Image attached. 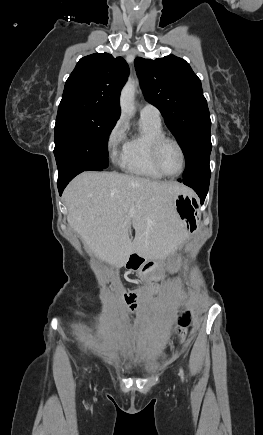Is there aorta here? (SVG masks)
Segmentation results:
<instances>
[{
	"label": "aorta",
	"instance_id": "1",
	"mask_svg": "<svg viewBox=\"0 0 263 435\" xmlns=\"http://www.w3.org/2000/svg\"><path fill=\"white\" fill-rule=\"evenodd\" d=\"M136 84L137 82L135 80H129L121 92V111L123 114L129 117H131L134 113V95Z\"/></svg>",
	"mask_w": 263,
	"mask_h": 435
}]
</instances>
